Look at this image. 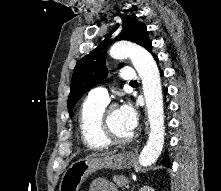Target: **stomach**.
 Returning a JSON list of instances; mask_svg holds the SVG:
<instances>
[{
    "label": "stomach",
    "instance_id": "0dacf381",
    "mask_svg": "<svg viewBox=\"0 0 221 191\" xmlns=\"http://www.w3.org/2000/svg\"><path fill=\"white\" fill-rule=\"evenodd\" d=\"M135 164L133 152L126 151L99 158L80 159L65 171L59 191H78L83 181L93 172L102 168L114 170L129 169Z\"/></svg>",
    "mask_w": 221,
    "mask_h": 191
}]
</instances>
